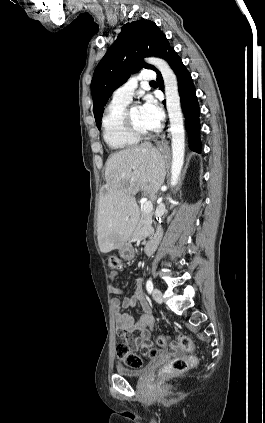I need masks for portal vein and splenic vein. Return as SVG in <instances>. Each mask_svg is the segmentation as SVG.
I'll return each instance as SVG.
<instances>
[{"mask_svg": "<svg viewBox=\"0 0 265 423\" xmlns=\"http://www.w3.org/2000/svg\"><path fill=\"white\" fill-rule=\"evenodd\" d=\"M143 211L146 212V213H150V212L153 211V204H152L151 201H146L143 204Z\"/></svg>", "mask_w": 265, "mask_h": 423, "instance_id": "portal-vein-and-splenic-vein-1", "label": "portal vein and splenic vein"}]
</instances>
